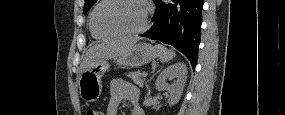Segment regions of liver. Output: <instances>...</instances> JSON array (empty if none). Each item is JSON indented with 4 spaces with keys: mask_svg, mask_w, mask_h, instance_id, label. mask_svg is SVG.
Returning a JSON list of instances; mask_svg holds the SVG:
<instances>
[{
    "mask_svg": "<svg viewBox=\"0 0 285 115\" xmlns=\"http://www.w3.org/2000/svg\"><path fill=\"white\" fill-rule=\"evenodd\" d=\"M137 38H120L97 43L90 47L80 65L81 73L92 64L118 57L128 51L136 42Z\"/></svg>",
    "mask_w": 285,
    "mask_h": 115,
    "instance_id": "obj_1",
    "label": "liver"
}]
</instances>
